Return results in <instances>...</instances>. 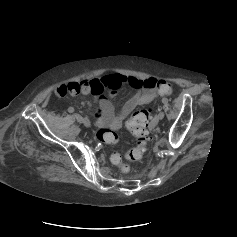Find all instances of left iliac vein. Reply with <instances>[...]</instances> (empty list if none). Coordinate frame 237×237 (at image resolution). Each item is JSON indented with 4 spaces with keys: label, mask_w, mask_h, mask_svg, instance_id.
<instances>
[{
    "label": "left iliac vein",
    "mask_w": 237,
    "mask_h": 237,
    "mask_svg": "<svg viewBox=\"0 0 237 237\" xmlns=\"http://www.w3.org/2000/svg\"><path fill=\"white\" fill-rule=\"evenodd\" d=\"M164 116H165L164 112L161 111V112L158 114V120H162V119L164 118Z\"/></svg>",
    "instance_id": "left-iliac-vein-1"
}]
</instances>
